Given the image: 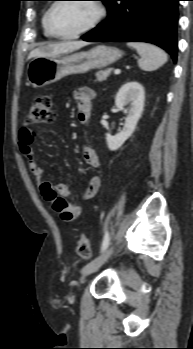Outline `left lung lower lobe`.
I'll return each mask as SVG.
<instances>
[{
	"instance_id": "1",
	"label": "left lung lower lobe",
	"mask_w": 193,
	"mask_h": 349,
	"mask_svg": "<svg viewBox=\"0 0 193 349\" xmlns=\"http://www.w3.org/2000/svg\"><path fill=\"white\" fill-rule=\"evenodd\" d=\"M180 0H108V17L82 38L89 42L144 41L177 59Z\"/></svg>"
}]
</instances>
